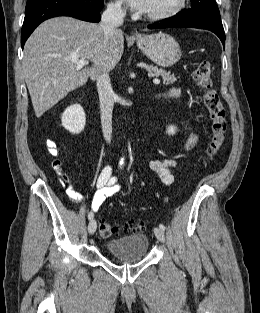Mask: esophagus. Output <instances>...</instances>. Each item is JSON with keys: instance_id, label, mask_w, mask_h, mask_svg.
<instances>
[{"instance_id": "esophagus-1", "label": "esophagus", "mask_w": 260, "mask_h": 313, "mask_svg": "<svg viewBox=\"0 0 260 313\" xmlns=\"http://www.w3.org/2000/svg\"><path fill=\"white\" fill-rule=\"evenodd\" d=\"M133 37L138 38L140 35L138 33H132Z\"/></svg>"}]
</instances>
